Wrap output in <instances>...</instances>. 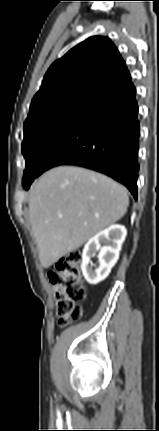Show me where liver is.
I'll use <instances>...</instances> for the list:
<instances>
[{"label": "liver", "instance_id": "6515ba94", "mask_svg": "<svg viewBox=\"0 0 159 431\" xmlns=\"http://www.w3.org/2000/svg\"><path fill=\"white\" fill-rule=\"evenodd\" d=\"M28 204L40 262L49 268L120 220L129 197L124 186L103 174L61 166L34 182Z\"/></svg>", "mask_w": 159, "mask_h": 431}]
</instances>
